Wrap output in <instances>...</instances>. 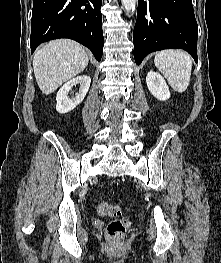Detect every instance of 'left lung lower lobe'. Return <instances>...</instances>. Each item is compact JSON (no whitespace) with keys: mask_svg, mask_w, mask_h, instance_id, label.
I'll return each instance as SVG.
<instances>
[{"mask_svg":"<svg viewBox=\"0 0 221 263\" xmlns=\"http://www.w3.org/2000/svg\"><path fill=\"white\" fill-rule=\"evenodd\" d=\"M198 27L191 0H138L133 31L137 65L151 52L181 48L197 62Z\"/></svg>","mask_w":221,"mask_h":263,"instance_id":"obj_1","label":"left lung lower lobe"}]
</instances>
